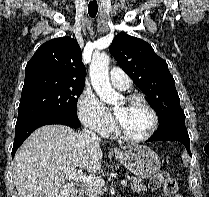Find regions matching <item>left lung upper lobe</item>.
Returning a JSON list of instances; mask_svg holds the SVG:
<instances>
[{
    "label": "left lung upper lobe",
    "instance_id": "obj_1",
    "mask_svg": "<svg viewBox=\"0 0 209 197\" xmlns=\"http://www.w3.org/2000/svg\"><path fill=\"white\" fill-rule=\"evenodd\" d=\"M109 51L148 97V103L158 114L159 125L185 118L168 65L150 44L121 32L113 39Z\"/></svg>",
    "mask_w": 209,
    "mask_h": 197
}]
</instances>
